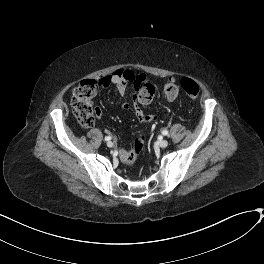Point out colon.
I'll return each instance as SVG.
<instances>
[{"instance_id":"5ec220e1","label":"colon","mask_w":264,"mask_h":264,"mask_svg":"<svg viewBox=\"0 0 264 264\" xmlns=\"http://www.w3.org/2000/svg\"><path fill=\"white\" fill-rule=\"evenodd\" d=\"M180 86L191 99H196L200 94L198 83L190 77H183L180 81ZM96 87V81L83 80L70 90L74 116L83 128H91L99 116V110L92 104ZM163 91L168 99L174 100L179 95V86L173 80H169L163 85ZM156 94L157 84L152 80H146L139 89L138 99L141 103L148 104L154 99ZM143 149L144 140L136 138L133 142L129 159L132 160L139 156Z\"/></svg>"}]
</instances>
